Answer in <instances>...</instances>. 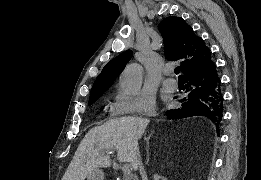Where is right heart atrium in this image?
Masks as SVG:
<instances>
[{
    "label": "right heart atrium",
    "mask_w": 261,
    "mask_h": 180,
    "mask_svg": "<svg viewBox=\"0 0 261 180\" xmlns=\"http://www.w3.org/2000/svg\"><path fill=\"white\" fill-rule=\"evenodd\" d=\"M139 95L129 96L125 91L117 90L116 100L123 106L120 112L112 114H126V112H139V114H151L156 107L155 95L151 91H139Z\"/></svg>",
    "instance_id": "1"
}]
</instances>
